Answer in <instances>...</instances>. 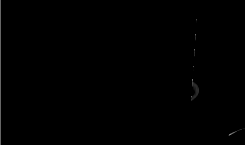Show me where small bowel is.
<instances>
[{
    "instance_id": "obj_1",
    "label": "small bowel",
    "mask_w": 245,
    "mask_h": 145,
    "mask_svg": "<svg viewBox=\"0 0 245 145\" xmlns=\"http://www.w3.org/2000/svg\"><path fill=\"white\" fill-rule=\"evenodd\" d=\"M156 34L161 37V36L165 35V31L159 30V31L156 32ZM153 47H157V46H153Z\"/></svg>"
}]
</instances>
